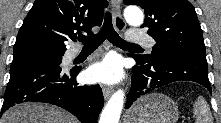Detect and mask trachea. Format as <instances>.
Segmentation results:
<instances>
[{"instance_id": "trachea-1", "label": "trachea", "mask_w": 221, "mask_h": 123, "mask_svg": "<svg viewBox=\"0 0 221 123\" xmlns=\"http://www.w3.org/2000/svg\"><path fill=\"white\" fill-rule=\"evenodd\" d=\"M79 41L84 47L97 48L104 40L108 39L112 44L119 47H134L137 44L126 42L123 40L113 28L112 17L110 13H106L102 29L92 36H79Z\"/></svg>"}]
</instances>
